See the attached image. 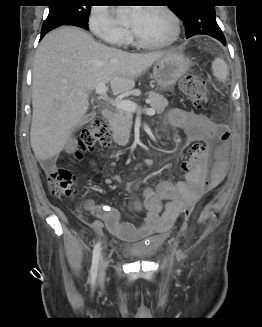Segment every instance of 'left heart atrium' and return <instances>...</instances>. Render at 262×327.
Returning a JSON list of instances; mask_svg holds the SVG:
<instances>
[{"mask_svg": "<svg viewBox=\"0 0 262 327\" xmlns=\"http://www.w3.org/2000/svg\"><path fill=\"white\" fill-rule=\"evenodd\" d=\"M144 11H145V8H135L130 12V16L133 20L136 21L142 16Z\"/></svg>", "mask_w": 262, "mask_h": 327, "instance_id": "39dd6f15", "label": "left heart atrium"}]
</instances>
